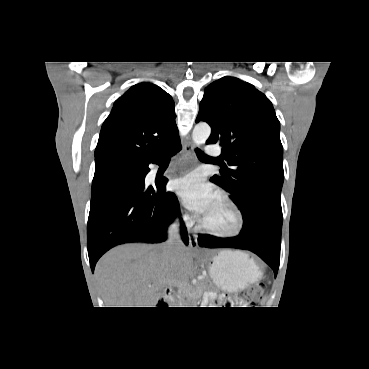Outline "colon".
I'll use <instances>...</instances> for the list:
<instances>
[{
	"mask_svg": "<svg viewBox=\"0 0 369 369\" xmlns=\"http://www.w3.org/2000/svg\"><path fill=\"white\" fill-rule=\"evenodd\" d=\"M264 288L261 283L255 284L246 289L236 298L225 297L223 304L228 307L249 306L259 303L263 299Z\"/></svg>",
	"mask_w": 369,
	"mask_h": 369,
	"instance_id": "obj_1",
	"label": "colon"
}]
</instances>
